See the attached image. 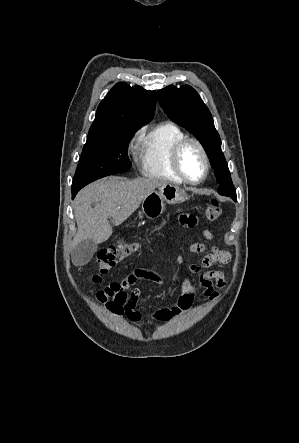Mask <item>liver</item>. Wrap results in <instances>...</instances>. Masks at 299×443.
<instances>
[{
	"label": "liver",
	"mask_w": 299,
	"mask_h": 443,
	"mask_svg": "<svg viewBox=\"0 0 299 443\" xmlns=\"http://www.w3.org/2000/svg\"><path fill=\"white\" fill-rule=\"evenodd\" d=\"M167 184L154 178L129 180L110 176L83 188L75 198L74 215L77 233L73 247L91 239L102 243L112 235L109 220L115 226L123 223L156 188Z\"/></svg>",
	"instance_id": "liver-1"
}]
</instances>
